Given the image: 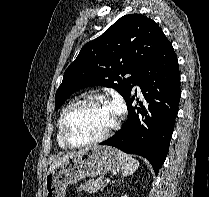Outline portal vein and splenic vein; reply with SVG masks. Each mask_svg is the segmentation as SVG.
<instances>
[{
	"mask_svg": "<svg viewBox=\"0 0 209 197\" xmlns=\"http://www.w3.org/2000/svg\"><path fill=\"white\" fill-rule=\"evenodd\" d=\"M105 182H106V183H109V182H110V179H109V178H106V179H105Z\"/></svg>",
	"mask_w": 209,
	"mask_h": 197,
	"instance_id": "obj_1",
	"label": "portal vein and splenic vein"
}]
</instances>
